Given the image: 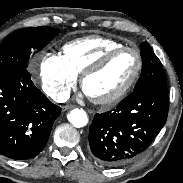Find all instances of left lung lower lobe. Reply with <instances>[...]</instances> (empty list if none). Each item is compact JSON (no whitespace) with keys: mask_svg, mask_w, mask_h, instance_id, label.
I'll use <instances>...</instances> for the list:
<instances>
[{"mask_svg":"<svg viewBox=\"0 0 183 183\" xmlns=\"http://www.w3.org/2000/svg\"><path fill=\"white\" fill-rule=\"evenodd\" d=\"M166 88L133 91L115 109L95 114L89 130L94 159L104 166L122 165L146 150L166 122Z\"/></svg>","mask_w":183,"mask_h":183,"instance_id":"1","label":"left lung lower lobe"}]
</instances>
